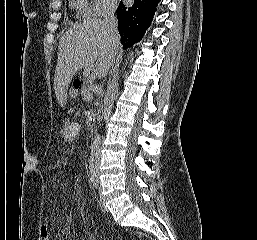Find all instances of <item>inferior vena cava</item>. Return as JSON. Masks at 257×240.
Listing matches in <instances>:
<instances>
[{"label": "inferior vena cava", "instance_id": "602c4592", "mask_svg": "<svg viewBox=\"0 0 257 240\" xmlns=\"http://www.w3.org/2000/svg\"><path fill=\"white\" fill-rule=\"evenodd\" d=\"M116 5L113 4L109 7L104 19V29L108 36L111 38L114 44L120 43V37L118 34V22L115 16Z\"/></svg>", "mask_w": 257, "mask_h": 240}]
</instances>
